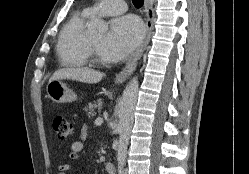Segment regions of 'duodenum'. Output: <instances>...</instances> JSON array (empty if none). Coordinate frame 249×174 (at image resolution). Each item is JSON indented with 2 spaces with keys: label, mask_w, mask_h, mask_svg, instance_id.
<instances>
[{
  "label": "duodenum",
  "mask_w": 249,
  "mask_h": 174,
  "mask_svg": "<svg viewBox=\"0 0 249 174\" xmlns=\"http://www.w3.org/2000/svg\"><path fill=\"white\" fill-rule=\"evenodd\" d=\"M105 168L108 174H116V166L113 163L107 162Z\"/></svg>",
  "instance_id": "1"
}]
</instances>
